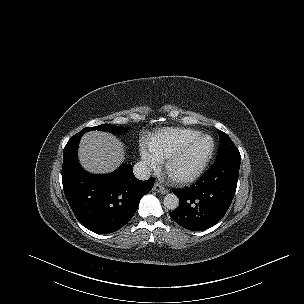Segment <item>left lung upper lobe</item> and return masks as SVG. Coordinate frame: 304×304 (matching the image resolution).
Masks as SVG:
<instances>
[{
    "mask_svg": "<svg viewBox=\"0 0 304 304\" xmlns=\"http://www.w3.org/2000/svg\"><path fill=\"white\" fill-rule=\"evenodd\" d=\"M220 146L218 148L216 161L222 160L224 158H228L231 156H240L239 150L230 139V137L218 130Z\"/></svg>",
    "mask_w": 304,
    "mask_h": 304,
    "instance_id": "5c2ea615",
    "label": "left lung upper lobe"
}]
</instances>
